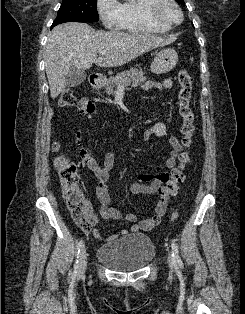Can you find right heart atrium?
I'll return each instance as SVG.
<instances>
[{
	"instance_id": "1",
	"label": "right heart atrium",
	"mask_w": 245,
	"mask_h": 314,
	"mask_svg": "<svg viewBox=\"0 0 245 314\" xmlns=\"http://www.w3.org/2000/svg\"><path fill=\"white\" fill-rule=\"evenodd\" d=\"M97 12L107 28H117L120 3L117 0H97Z\"/></svg>"
}]
</instances>
